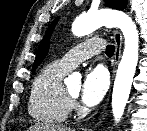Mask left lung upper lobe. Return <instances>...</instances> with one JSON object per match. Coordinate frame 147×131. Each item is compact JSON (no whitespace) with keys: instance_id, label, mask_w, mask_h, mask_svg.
<instances>
[{"instance_id":"5c2ea615","label":"left lung upper lobe","mask_w":147,"mask_h":131,"mask_svg":"<svg viewBox=\"0 0 147 131\" xmlns=\"http://www.w3.org/2000/svg\"><path fill=\"white\" fill-rule=\"evenodd\" d=\"M105 3L110 7V8H114V9H124L126 7V0H105ZM58 21V18H56L48 27L45 36L43 38V40L41 41L39 48H38V52L36 55V59L34 61V65L32 68V72H34L37 67L41 64V62L43 61V59L45 58L48 49H49V39L51 37V34L53 32V29L56 25Z\"/></svg>"}]
</instances>
